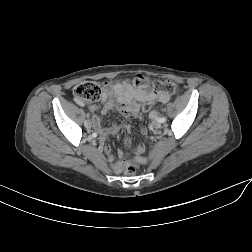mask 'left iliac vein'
I'll use <instances>...</instances> for the list:
<instances>
[{
    "label": "left iliac vein",
    "instance_id": "left-iliac-vein-1",
    "mask_svg": "<svg viewBox=\"0 0 252 252\" xmlns=\"http://www.w3.org/2000/svg\"><path fill=\"white\" fill-rule=\"evenodd\" d=\"M152 126H153L155 129H158V128L161 127V124H160V122H159L158 120H154V121L152 122Z\"/></svg>",
    "mask_w": 252,
    "mask_h": 252
}]
</instances>
